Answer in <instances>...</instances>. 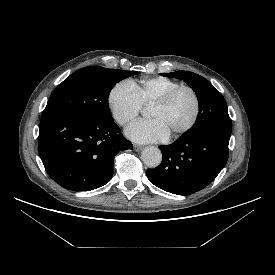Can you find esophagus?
<instances>
[{"mask_svg":"<svg viewBox=\"0 0 275 275\" xmlns=\"http://www.w3.org/2000/svg\"><path fill=\"white\" fill-rule=\"evenodd\" d=\"M142 149H143L142 146H140V145H134V150H135V151L139 152V151H141Z\"/></svg>","mask_w":275,"mask_h":275,"instance_id":"1","label":"esophagus"}]
</instances>
